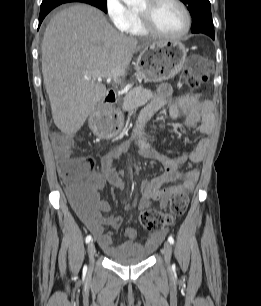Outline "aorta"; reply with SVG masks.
Listing matches in <instances>:
<instances>
[{
	"mask_svg": "<svg viewBox=\"0 0 261 306\" xmlns=\"http://www.w3.org/2000/svg\"><path fill=\"white\" fill-rule=\"evenodd\" d=\"M128 6H136L139 5L143 0H122Z\"/></svg>",
	"mask_w": 261,
	"mask_h": 306,
	"instance_id": "762f6f07",
	"label": "aorta"
}]
</instances>
